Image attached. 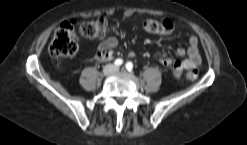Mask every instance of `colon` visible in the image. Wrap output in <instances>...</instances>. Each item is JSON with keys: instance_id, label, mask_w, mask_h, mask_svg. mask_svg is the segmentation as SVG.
<instances>
[{"instance_id": "1", "label": "colon", "mask_w": 247, "mask_h": 145, "mask_svg": "<svg viewBox=\"0 0 247 145\" xmlns=\"http://www.w3.org/2000/svg\"><path fill=\"white\" fill-rule=\"evenodd\" d=\"M144 29L157 35H169L174 30V24L170 20H156L147 18L144 21ZM80 32L87 38L97 39L103 38L108 32V21L104 17H96L80 26ZM78 49V33L72 22L61 24L55 31L53 39L49 45V52L54 57H70L77 52ZM171 65V62H166ZM174 74L180 76L184 66L182 61H175L172 65ZM190 80L198 77L196 69L190 70L186 74Z\"/></svg>"}]
</instances>
